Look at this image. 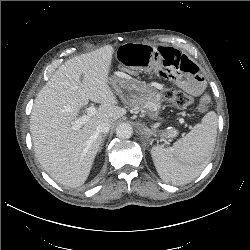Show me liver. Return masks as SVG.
<instances>
[{
  "instance_id": "6515ba94",
  "label": "liver",
  "mask_w": 250,
  "mask_h": 250,
  "mask_svg": "<svg viewBox=\"0 0 250 250\" xmlns=\"http://www.w3.org/2000/svg\"><path fill=\"white\" fill-rule=\"evenodd\" d=\"M113 53V47L106 45L66 61L34 101L30 131L36 157L49 176L64 186L85 183L102 142L99 124L113 123L126 114L109 85ZM89 100L101 105L82 128L72 129Z\"/></svg>"
}]
</instances>
